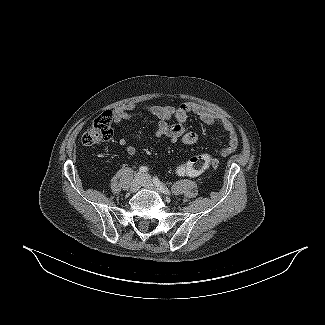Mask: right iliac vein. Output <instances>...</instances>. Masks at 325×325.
<instances>
[{
  "label": "right iliac vein",
  "mask_w": 325,
  "mask_h": 325,
  "mask_svg": "<svg viewBox=\"0 0 325 325\" xmlns=\"http://www.w3.org/2000/svg\"><path fill=\"white\" fill-rule=\"evenodd\" d=\"M142 181H143L142 175L138 173L130 184V192L138 191L142 184Z\"/></svg>",
  "instance_id": "obj_1"
}]
</instances>
